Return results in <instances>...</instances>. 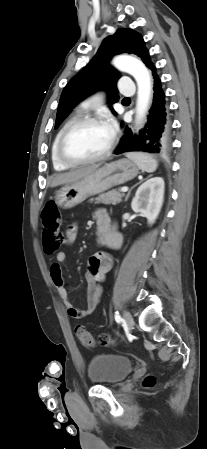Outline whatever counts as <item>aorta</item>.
I'll return each instance as SVG.
<instances>
[{
  "label": "aorta",
  "instance_id": "aorta-1",
  "mask_svg": "<svg viewBox=\"0 0 207 449\" xmlns=\"http://www.w3.org/2000/svg\"><path fill=\"white\" fill-rule=\"evenodd\" d=\"M113 65L120 71L132 75L138 86L136 115L138 119L144 117L152 91L151 76L147 67L139 59L127 55H120L113 59Z\"/></svg>",
  "mask_w": 207,
  "mask_h": 449
}]
</instances>
